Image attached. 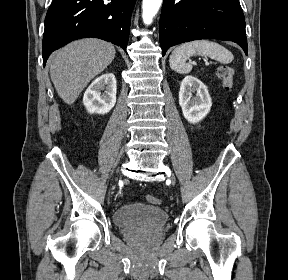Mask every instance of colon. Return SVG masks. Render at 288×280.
Returning a JSON list of instances; mask_svg holds the SVG:
<instances>
[{"mask_svg":"<svg viewBox=\"0 0 288 280\" xmlns=\"http://www.w3.org/2000/svg\"><path fill=\"white\" fill-rule=\"evenodd\" d=\"M218 77L222 80L225 89L229 90L233 84V69L229 66H221L217 70ZM146 200L154 205H160L162 200L158 197L148 195Z\"/></svg>","mask_w":288,"mask_h":280,"instance_id":"5ec220e1","label":"colon"}]
</instances>
